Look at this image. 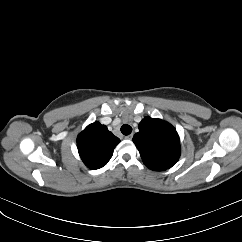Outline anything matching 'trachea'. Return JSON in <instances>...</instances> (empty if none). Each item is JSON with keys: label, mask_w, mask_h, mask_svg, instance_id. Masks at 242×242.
Here are the masks:
<instances>
[{"label": "trachea", "mask_w": 242, "mask_h": 242, "mask_svg": "<svg viewBox=\"0 0 242 242\" xmlns=\"http://www.w3.org/2000/svg\"><path fill=\"white\" fill-rule=\"evenodd\" d=\"M121 132L123 135H129L132 132V127L128 124L121 126Z\"/></svg>", "instance_id": "3493384b"}]
</instances>
